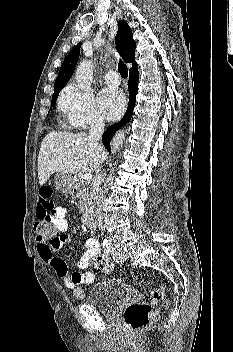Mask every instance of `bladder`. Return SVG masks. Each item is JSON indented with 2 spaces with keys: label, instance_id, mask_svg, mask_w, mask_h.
Listing matches in <instances>:
<instances>
[{
  "label": "bladder",
  "instance_id": "obj_1",
  "mask_svg": "<svg viewBox=\"0 0 233 352\" xmlns=\"http://www.w3.org/2000/svg\"><path fill=\"white\" fill-rule=\"evenodd\" d=\"M125 299L126 293L119 283L102 281L92 287L87 303L105 315H114Z\"/></svg>",
  "mask_w": 233,
  "mask_h": 352
}]
</instances>
